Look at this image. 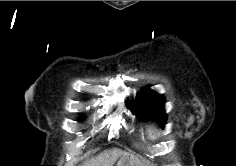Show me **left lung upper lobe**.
Returning a JSON list of instances; mask_svg holds the SVG:
<instances>
[{
    "label": "left lung upper lobe",
    "instance_id": "left-lung-upper-lobe-1",
    "mask_svg": "<svg viewBox=\"0 0 236 166\" xmlns=\"http://www.w3.org/2000/svg\"><path fill=\"white\" fill-rule=\"evenodd\" d=\"M164 104L163 95L153 92L148 86L138 93L133 103H127V106L139 120H152L161 123V127H164L167 120Z\"/></svg>",
    "mask_w": 236,
    "mask_h": 166
}]
</instances>
